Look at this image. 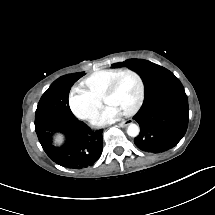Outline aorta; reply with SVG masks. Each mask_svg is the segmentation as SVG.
I'll list each match as a JSON object with an SVG mask.
<instances>
[{
  "mask_svg": "<svg viewBox=\"0 0 215 215\" xmlns=\"http://www.w3.org/2000/svg\"><path fill=\"white\" fill-rule=\"evenodd\" d=\"M127 134L129 136L135 137L139 134V127L138 125L131 123L127 127Z\"/></svg>",
  "mask_w": 215,
  "mask_h": 215,
  "instance_id": "obj_1",
  "label": "aorta"
}]
</instances>
